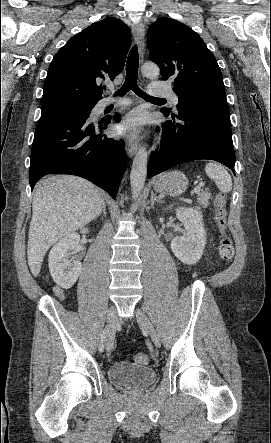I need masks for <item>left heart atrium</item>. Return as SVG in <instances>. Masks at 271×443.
<instances>
[{
  "label": "left heart atrium",
  "instance_id": "obj_1",
  "mask_svg": "<svg viewBox=\"0 0 271 443\" xmlns=\"http://www.w3.org/2000/svg\"><path fill=\"white\" fill-rule=\"evenodd\" d=\"M146 121V114L143 111L133 110L117 125L116 134L128 139H137L140 136Z\"/></svg>",
  "mask_w": 271,
  "mask_h": 443
}]
</instances>
